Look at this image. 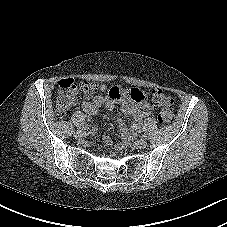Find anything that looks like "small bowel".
Returning <instances> with one entry per match:
<instances>
[{"mask_svg": "<svg viewBox=\"0 0 227 227\" xmlns=\"http://www.w3.org/2000/svg\"><path fill=\"white\" fill-rule=\"evenodd\" d=\"M99 90L105 92L107 87L102 84L99 86ZM147 100V94L138 88L126 90L112 87L107 94L97 95L92 100L83 102L82 108L86 114L96 115L103 108L111 110L118 105L123 113L133 117L130 128H127L121 120L118 121L122 136L131 139L139 133L143 119L150 114V107L146 104ZM105 141L108 142V138H105Z\"/></svg>", "mask_w": 227, "mask_h": 227, "instance_id": "1", "label": "small bowel"}]
</instances>
